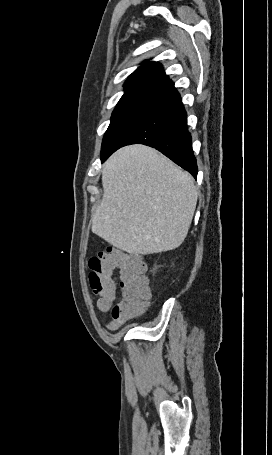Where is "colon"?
<instances>
[{"instance_id":"1","label":"colon","mask_w":272,"mask_h":455,"mask_svg":"<svg viewBox=\"0 0 272 455\" xmlns=\"http://www.w3.org/2000/svg\"><path fill=\"white\" fill-rule=\"evenodd\" d=\"M89 283L102 311L111 310L114 325L140 315L150 299L145 264L136 255L109 247L89 260ZM119 274V282L115 274ZM121 289L122 297L114 302Z\"/></svg>"}]
</instances>
